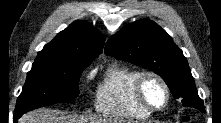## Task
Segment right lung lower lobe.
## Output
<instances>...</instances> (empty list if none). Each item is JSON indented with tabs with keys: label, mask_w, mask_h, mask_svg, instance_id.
I'll return each instance as SVG.
<instances>
[{
	"label": "right lung lower lobe",
	"mask_w": 221,
	"mask_h": 123,
	"mask_svg": "<svg viewBox=\"0 0 221 123\" xmlns=\"http://www.w3.org/2000/svg\"><path fill=\"white\" fill-rule=\"evenodd\" d=\"M22 114L23 113H15L14 112V120H17L18 118H20Z\"/></svg>",
	"instance_id": "1"
}]
</instances>
